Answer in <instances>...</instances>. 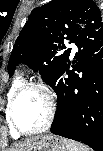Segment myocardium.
I'll return each mask as SVG.
<instances>
[{
	"mask_svg": "<svg viewBox=\"0 0 103 151\" xmlns=\"http://www.w3.org/2000/svg\"><path fill=\"white\" fill-rule=\"evenodd\" d=\"M32 89L39 91L44 96V98L46 100V105H47V116H46V120H45L44 124L41 127L37 128V129L26 130V129H23L17 123V121L15 119L14 110H15V105H16L18 98L25 91L32 90ZM55 112H56L55 96L52 93V91L45 84H43L41 82H27V83H24L23 85H21L13 94V96L9 102V106H8L9 121H10L12 127L19 134H22V135L37 134V133H41V132L47 130L51 126V124L54 120Z\"/></svg>",
	"mask_w": 103,
	"mask_h": 151,
	"instance_id": "myocardium-1",
	"label": "myocardium"
}]
</instances>
